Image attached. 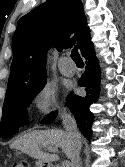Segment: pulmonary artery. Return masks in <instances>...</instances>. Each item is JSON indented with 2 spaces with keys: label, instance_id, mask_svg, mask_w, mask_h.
<instances>
[{
  "label": "pulmonary artery",
  "instance_id": "obj_1",
  "mask_svg": "<svg viewBox=\"0 0 125 167\" xmlns=\"http://www.w3.org/2000/svg\"><path fill=\"white\" fill-rule=\"evenodd\" d=\"M68 58H63L59 63V69L60 72L67 77H72L76 73V67L75 66H66V62L68 61Z\"/></svg>",
  "mask_w": 125,
  "mask_h": 167
}]
</instances>
